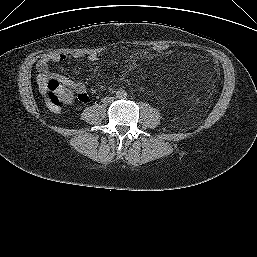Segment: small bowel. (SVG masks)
I'll use <instances>...</instances> for the list:
<instances>
[{
	"label": "small bowel",
	"mask_w": 257,
	"mask_h": 257,
	"mask_svg": "<svg viewBox=\"0 0 257 257\" xmlns=\"http://www.w3.org/2000/svg\"><path fill=\"white\" fill-rule=\"evenodd\" d=\"M66 59V55L63 53H46L44 54L37 63V72H38V83L40 85L45 84L49 79H57L62 85L69 87L78 94L80 101L87 102L88 95L86 93V88L81 81L73 80L65 75L52 73L50 71L51 63H59ZM88 60L94 62L97 60L96 54L88 55Z\"/></svg>",
	"instance_id": "small-bowel-1"
}]
</instances>
